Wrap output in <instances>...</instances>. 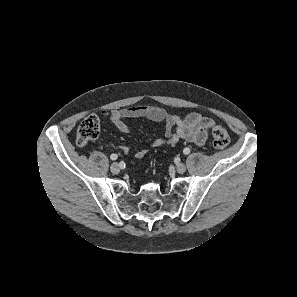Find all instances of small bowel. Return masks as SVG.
I'll return each mask as SVG.
<instances>
[{
    "mask_svg": "<svg viewBox=\"0 0 297 297\" xmlns=\"http://www.w3.org/2000/svg\"><path fill=\"white\" fill-rule=\"evenodd\" d=\"M102 115L107 117L117 129L124 133H130L131 128L125 122L128 118H147L157 123L163 124L164 137L151 140L149 147L155 148L163 145L174 146L179 141H187L197 146H202L207 140L213 120L202 116L199 113H190L181 117L176 114L168 113L163 108L156 105H134L110 112L103 111ZM122 149H128L122 146ZM148 149H140L134 152L136 158H143Z\"/></svg>",
    "mask_w": 297,
    "mask_h": 297,
    "instance_id": "c3829d8e",
    "label": "small bowel"
}]
</instances>
